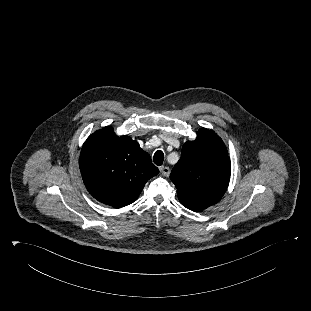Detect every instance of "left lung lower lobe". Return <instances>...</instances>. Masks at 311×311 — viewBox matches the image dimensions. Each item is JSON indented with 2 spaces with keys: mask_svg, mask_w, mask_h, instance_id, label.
Masks as SVG:
<instances>
[{
  "mask_svg": "<svg viewBox=\"0 0 311 311\" xmlns=\"http://www.w3.org/2000/svg\"><path fill=\"white\" fill-rule=\"evenodd\" d=\"M180 200V199H179ZM181 204L184 205L186 208L193 210L195 212L201 211L209 207L208 205L204 204H194V203H188L186 201L180 200Z\"/></svg>",
  "mask_w": 311,
  "mask_h": 311,
  "instance_id": "obj_1",
  "label": "left lung lower lobe"
}]
</instances>
